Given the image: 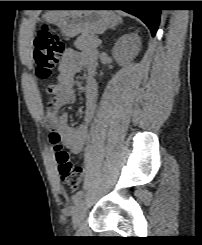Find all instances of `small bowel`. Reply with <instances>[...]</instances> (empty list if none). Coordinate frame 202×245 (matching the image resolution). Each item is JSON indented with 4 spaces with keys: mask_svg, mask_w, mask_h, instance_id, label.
Here are the masks:
<instances>
[{
    "mask_svg": "<svg viewBox=\"0 0 202 245\" xmlns=\"http://www.w3.org/2000/svg\"><path fill=\"white\" fill-rule=\"evenodd\" d=\"M82 70L87 72L84 85L83 123L79 127H73L69 124V115L67 113L60 114L59 110L62 106L75 101V76ZM95 72V56H88L76 49L68 48L59 64L56 85L51 90L52 98L48 102L44 114L48 126L59 131L63 145L74 154L83 149L87 141L88 125L96 112L99 88Z\"/></svg>",
    "mask_w": 202,
    "mask_h": 245,
    "instance_id": "c3829d8e",
    "label": "small bowel"
}]
</instances>
